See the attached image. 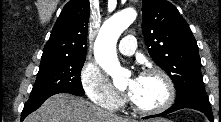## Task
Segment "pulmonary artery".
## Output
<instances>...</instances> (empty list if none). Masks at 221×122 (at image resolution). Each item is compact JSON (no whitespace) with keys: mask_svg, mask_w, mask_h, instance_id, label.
<instances>
[{"mask_svg":"<svg viewBox=\"0 0 221 122\" xmlns=\"http://www.w3.org/2000/svg\"><path fill=\"white\" fill-rule=\"evenodd\" d=\"M136 49V38L133 35H127L121 39L118 50L124 55H132Z\"/></svg>","mask_w":221,"mask_h":122,"instance_id":"pulmonary-artery-1","label":"pulmonary artery"}]
</instances>
